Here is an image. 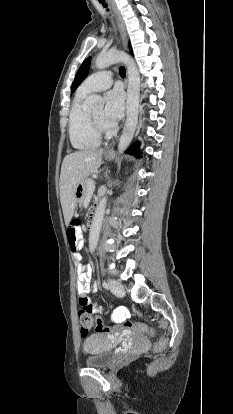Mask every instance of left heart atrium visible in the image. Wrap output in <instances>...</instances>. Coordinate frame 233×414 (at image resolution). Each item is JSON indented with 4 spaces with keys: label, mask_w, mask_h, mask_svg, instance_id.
<instances>
[{
    "label": "left heart atrium",
    "mask_w": 233,
    "mask_h": 414,
    "mask_svg": "<svg viewBox=\"0 0 233 414\" xmlns=\"http://www.w3.org/2000/svg\"><path fill=\"white\" fill-rule=\"evenodd\" d=\"M124 112V93L120 88H114L106 93L104 118L108 124L114 125Z\"/></svg>",
    "instance_id": "1"
}]
</instances>
